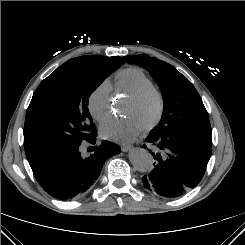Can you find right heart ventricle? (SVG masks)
<instances>
[{
    "instance_id": "right-heart-ventricle-1",
    "label": "right heart ventricle",
    "mask_w": 245,
    "mask_h": 245,
    "mask_svg": "<svg viewBox=\"0 0 245 245\" xmlns=\"http://www.w3.org/2000/svg\"><path fill=\"white\" fill-rule=\"evenodd\" d=\"M151 82L149 76L138 67L118 71L114 76V89L117 94L128 97L139 87Z\"/></svg>"
}]
</instances>
